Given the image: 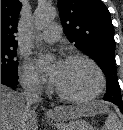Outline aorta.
Returning a JSON list of instances; mask_svg holds the SVG:
<instances>
[{
    "label": "aorta",
    "mask_w": 123,
    "mask_h": 130,
    "mask_svg": "<svg viewBox=\"0 0 123 130\" xmlns=\"http://www.w3.org/2000/svg\"><path fill=\"white\" fill-rule=\"evenodd\" d=\"M56 9L51 6H38L34 12V24L37 29L47 27L55 18Z\"/></svg>",
    "instance_id": "1"
}]
</instances>
